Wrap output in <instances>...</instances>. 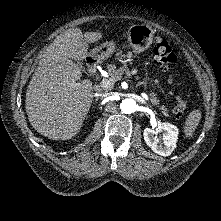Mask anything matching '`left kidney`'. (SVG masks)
Masks as SVG:
<instances>
[{
	"mask_svg": "<svg viewBox=\"0 0 221 221\" xmlns=\"http://www.w3.org/2000/svg\"><path fill=\"white\" fill-rule=\"evenodd\" d=\"M157 132L164 135L163 144L159 143ZM178 128L170 123H162L157 130L145 128L143 132L145 143L156 153L161 156H169L176 148L178 139Z\"/></svg>",
	"mask_w": 221,
	"mask_h": 221,
	"instance_id": "1",
	"label": "left kidney"
}]
</instances>
